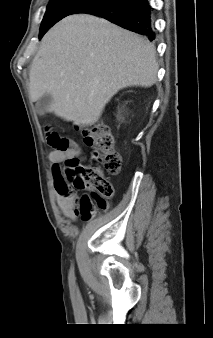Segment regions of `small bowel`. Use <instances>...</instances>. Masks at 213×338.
Wrapping results in <instances>:
<instances>
[{
  "label": "small bowel",
  "mask_w": 213,
  "mask_h": 338,
  "mask_svg": "<svg viewBox=\"0 0 213 338\" xmlns=\"http://www.w3.org/2000/svg\"><path fill=\"white\" fill-rule=\"evenodd\" d=\"M45 131L48 145L51 148L48 157L52 162H58L80 155L79 147L73 141H69L67 150H58L57 146L60 144L61 137L51 126H47ZM56 203L66 217L73 218L77 213H83V210L91 204V200L88 197H78L70 191L61 190L56 192Z\"/></svg>",
  "instance_id": "obj_1"
}]
</instances>
